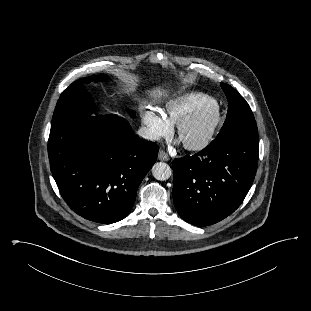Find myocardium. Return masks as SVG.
<instances>
[{"mask_svg":"<svg viewBox=\"0 0 311 311\" xmlns=\"http://www.w3.org/2000/svg\"><path fill=\"white\" fill-rule=\"evenodd\" d=\"M210 113L211 122L209 124L208 130L205 136L198 142L186 143L182 142L183 146L190 151H201L208 147L213 141L217 129L220 125L222 114L219 104L216 101H211L201 105L200 107L193 110L191 113L186 115L183 119L177 124V136L180 139L183 131L194 121H196L202 115Z\"/></svg>","mask_w":311,"mask_h":311,"instance_id":"myocardium-1","label":"myocardium"}]
</instances>
